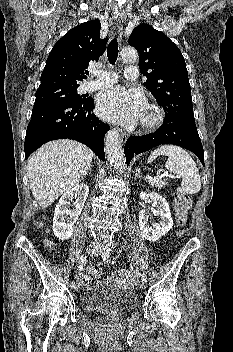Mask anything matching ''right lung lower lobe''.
<instances>
[{
	"instance_id": "obj_1",
	"label": "right lung lower lobe",
	"mask_w": 233,
	"mask_h": 352,
	"mask_svg": "<svg viewBox=\"0 0 233 352\" xmlns=\"http://www.w3.org/2000/svg\"><path fill=\"white\" fill-rule=\"evenodd\" d=\"M93 107L92 98L34 106L25 137V159L48 141L68 138L85 144L103 160L104 136L110 127L95 116Z\"/></svg>"
}]
</instances>
